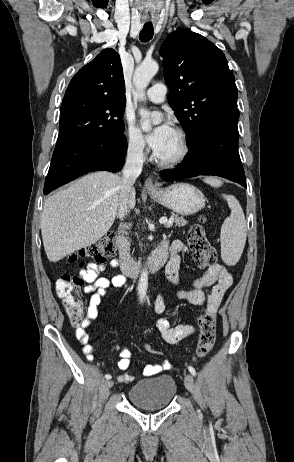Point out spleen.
<instances>
[{
    "label": "spleen",
    "instance_id": "obj_1",
    "mask_svg": "<svg viewBox=\"0 0 294 462\" xmlns=\"http://www.w3.org/2000/svg\"><path fill=\"white\" fill-rule=\"evenodd\" d=\"M204 182L214 188L222 185V182L214 177H206ZM223 198L226 199L231 214L221 227V258L227 265H235L246 243V221L239 201L232 195H223Z\"/></svg>",
    "mask_w": 294,
    "mask_h": 462
}]
</instances>
